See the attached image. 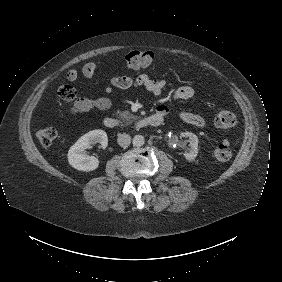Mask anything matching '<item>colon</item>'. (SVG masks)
Wrapping results in <instances>:
<instances>
[{"instance_id": "colon-1", "label": "colon", "mask_w": 282, "mask_h": 282, "mask_svg": "<svg viewBox=\"0 0 282 282\" xmlns=\"http://www.w3.org/2000/svg\"><path fill=\"white\" fill-rule=\"evenodd\" d=\"M154 62V54L149 50H133L126 56V63L133 70L146 68ZM74 91L68 86H61L58 89L57 97L62 101H70ZM57 121L45 123L37 132V138L43 145H51L57 137ZM215 125L218 129H230L237 125V118L229 109L220 110L215 118ZM213 159L216 162H223L230 158L231 150L227 143H218L213 149Z\"/></svg>"}]
</instances>
